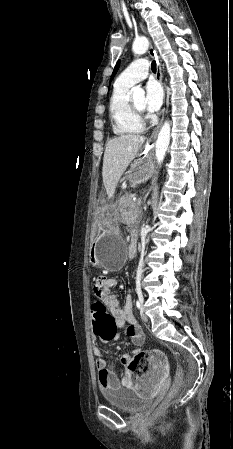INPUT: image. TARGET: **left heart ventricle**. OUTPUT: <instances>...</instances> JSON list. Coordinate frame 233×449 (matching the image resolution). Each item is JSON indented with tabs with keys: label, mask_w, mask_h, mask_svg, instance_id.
Segmentation results:
<instances>
[{
	"label": "left heart ventricle",
	"mask_w": 233,
	"mask_h": 449,
	"mask_svg": "<svg viewBox=\"0 0 233 449\" xmlns=\"http://www.w3.org/2000/svg\"><path fill=\"white\" fill-rule=\"evenodd\" d=\"M133 103L140 109L145 108V98L143 96L133 98Z\"/></svg>",
	"instance_id": "left-heart-ventricle-1"
}]
</instances>
